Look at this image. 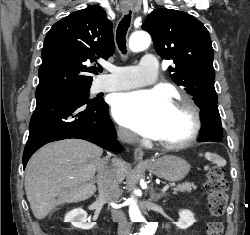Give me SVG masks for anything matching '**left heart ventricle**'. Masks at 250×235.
<instances>
[{
  "mask_svg": "<svg viewBox=\"0 0 250 235\" xmlns=\"http://www.w3.org/2000/svg\"><path fill=\"white\" fill-rule=\"evenodd\" d=\"M191 126L190 115L185 110L172 107L164 119L161 130L154 138L167 142L179 140L189 133Z\"/></svg>",
  "mask_w": 250,
  "mask_h": 235,
  "instance_id": "1",
  "label": "left heart ventricle"
}]
</instances>
